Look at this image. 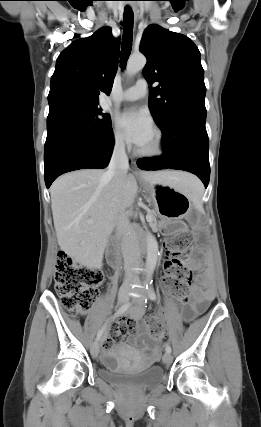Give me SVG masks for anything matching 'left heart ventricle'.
<instances>
[{
	"label": "left heart ventricle",
	"mask_w": 261,
	"mask_h": 427,
	"mask_svg": "<svg viewBox=\"0 0 261 427\" xmlns=\"http://www.w3.org/2000/svg\"><path fill=\"white\" fill-rule=\"evenodd\" d=\"M153 142H154V135H153V132H152V134L149 137V139L147 140V142L143 146H141L140 148L141 149H149V148L152 147Z\"/></svg>",
	"instance_id": "b2bd125f"
}]
</instances>
